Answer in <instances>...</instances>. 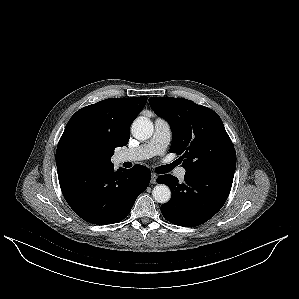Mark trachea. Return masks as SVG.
<instances>
[{
	"instance_id": "obj_1",
	"label": "trachea",
	"mask_w": 299,
	"mask_h": 299,
	"mask_svg": "<svg viewBox=\"0 0 299 299\" xmlns=\"http://www.w3.org/2000/svg\"><path fill=\"white\" fill-rule=\"evenodd\" d=\"M175 166H176L175 163H172L170 165L160 166L156 169V172L160 174L167 173Z\"/></svg>"
}]
</instances>
